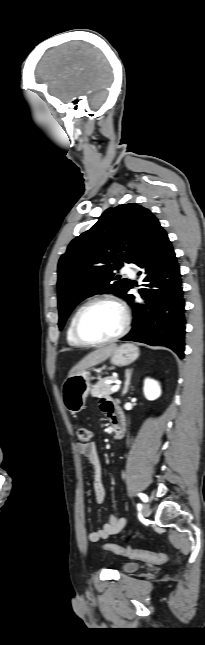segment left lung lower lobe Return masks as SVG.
I'll list each match as a JSON object with an SVG mask.
<instances>
[{
	"label": "left lung lower lobe",
	"mask_w": 205,
	"mask_h": 645,
	"mask_svg": "<svg viewBox=\"0 0 205 645\" xmlns=\"http://www.w3.org/2000/svg\"><path fill=\"white\" fill-rule=\"evenodd\" d=\"M132 263L142 269L138 275L144 276L145 286L149 287L141 289L140 293L147 300L150 312L137 303L133 295L126 293L125 298L133 308L134 322L132 330L121 340L163 345L183 358L186 321L180 268L167 233L158 220L150 223ZM130 288L131 283L128 290Z\"/></svg>",
	"instance_id": "0a47b994"
}]
</instances>
